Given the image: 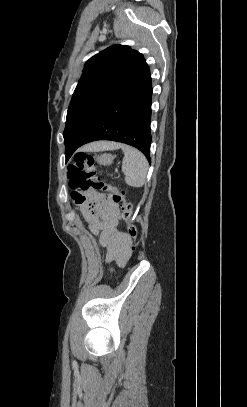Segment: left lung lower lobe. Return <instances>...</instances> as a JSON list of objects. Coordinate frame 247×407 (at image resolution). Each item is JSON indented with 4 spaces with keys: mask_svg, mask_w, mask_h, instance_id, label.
I'll list each match as a JSON object with an SVG mask.
<instances>
[{
    "mask_svg": "<svg viewBox=\"0 0 247 407\" xmlns=\"http://www.w3.org/2000/svg\"><path fill=\"white\" fill-rule=\"evenodd\" d=\"M151 99L152 85L147 67L111 101L78 147L97 140L122 142L139 149L150 162Z\"/></svg>",
    "mask_w": 247,
    "mask_h": 407,
    "instance_id": "1",
    "label": "left lung lower lobe"
}]
</instances>
